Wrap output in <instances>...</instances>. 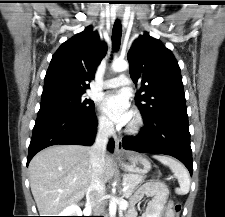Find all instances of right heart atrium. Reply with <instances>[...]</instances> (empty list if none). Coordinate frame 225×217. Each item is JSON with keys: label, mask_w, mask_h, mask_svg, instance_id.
<instances>
[{"label": "right heart atrium", "mask_w": 225, "mask_h": 217, "mask_svg": "<svg viewBox=\"0 0 225 217\" xmlns=\"http://www.w3.org/2000/svg\"><path fill=\"white\" fill-rule=\"evenodd\" d=\"M98 129L102 133H110L112 131L111 121L104 115H99L97 118Z\"/></svg>", "instance_id": "d8ad5b80"}]
</instances>
